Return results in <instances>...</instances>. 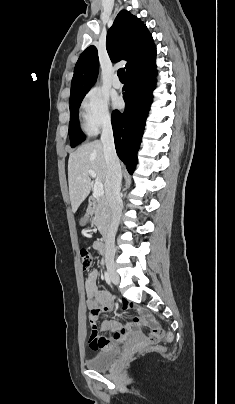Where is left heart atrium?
Listing matches in <instances>:
<instances>
[{
	"mask_svg": "<svg viewBox=\"0 0 235 404\" xmlns=\"http://www.w3.org/2000/svg\"><path fill=\"white\" fill-rule=\"evenodd\" d=\"M113 105L115 108H119L121 106V100L119 98H115L113 100Z\"/></svg>",
	"mask_w": 235,
	"mask_h": 404,
	"instance_id": "obj_1",
	"label": "left heart atrium"
}]
</instances>
